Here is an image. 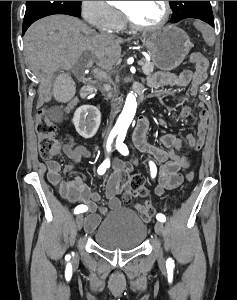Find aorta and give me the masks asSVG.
I'll use <instances>...</instances> for the list:
<instances>
[{
    "label": "aorta",
    "instance_id": "762f6f07",
    "mask_svg": "<svg viewBox=\"0 0 237 300\" xmlns=\"http://www.w3.org/2000/svg\"><path fill=\"white\" fill-rule=\"evenodd\" d=\"M136 109H137L136 99L134 95H132V93H129L125 101L124 109L116 123L119 129H126L127 131L129 125H131L134 119Z\"/></svg>",
    "mask_w": 237,
    "mask_h": 300
}]
</instances>
